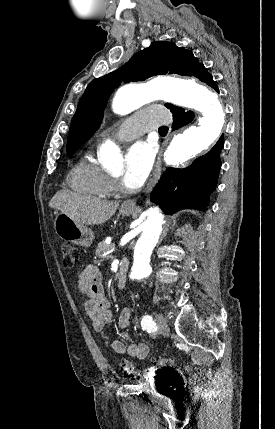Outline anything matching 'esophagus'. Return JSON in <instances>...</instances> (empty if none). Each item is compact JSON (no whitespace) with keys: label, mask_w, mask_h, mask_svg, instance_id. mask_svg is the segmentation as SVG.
Returning <instances> with one entry per match:
<instances>
[{"label":"esophagus","mask_w":275,"mask_h":429,"mask_svg":"<svg viewBox=\"0 0 275 429\" xmlns=\"http://www.w3.org/2000/svg\"><path fill=\"white\" fill-rule=\"evenodd\" d=\"M163 152H164V145L161 147L160 152L158 154L157 161L155 163L153 172L151 174V177L149 179L147 187L145 188V191H144L145 193L150 192L154 188V186L156 185V183H157V181H158V179H159V177L161 175V170H162V155H163ZM123 206L135 208L136 207V199L126 200L123 203Z\"/></svg>","instance_id":"obj_1"}]
</instances>
